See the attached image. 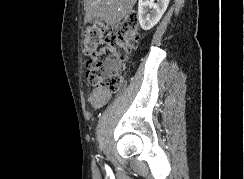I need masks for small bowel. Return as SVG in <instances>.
<instances>
[{
    "mask_svg": "<svg viewBox=\"0 0 244 179\" xmlns=\"http://www.w3.org/2000/svg\"><path fill=\"white\" fill-rule=\"evenodd\" d=\"M88 102L90 106L95 109H101L104 107L111 99V93L100 89H90L88 96Z\"/></svg>",
    "mask_w": 244,
    "mask_h": 179,
    "instance_id": "c3829d8e",
    "label": "small bowel"
}]
</instances>
